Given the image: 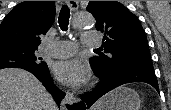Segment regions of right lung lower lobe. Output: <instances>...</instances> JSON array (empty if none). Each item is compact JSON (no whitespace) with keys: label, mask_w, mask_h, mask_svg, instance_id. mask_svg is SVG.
<instances>
[{"label":"right lung lower lobe","mask_w":171,"mask_h":110,"mask_svg":"<svg viewBox=\"0 0 171 110\" xmlns=\"http://www.w3.org/2000/svg\"><path fill=\"white\" fill-rule=\"evenodd\" d=\"M33 73L45 86V88L53 95L54 100L59 105L61 100L64 98L65 93L59 90L53 83L52 78L50 77L49 70H37L32 68L25 69Z\"/></svg>","instance_id":"right-lung-lower-lobe-1"}]
</instances>
